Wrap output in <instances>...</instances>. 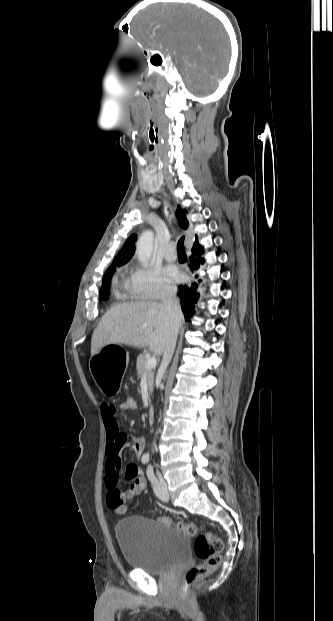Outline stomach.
<instances>
[{
    "mask_svg": "<svg viewBox=\"0 0 333 621\" xmlns=\"http://www.w3.org/2000/svg\"><path fill=\"white\" fill-rule=\"evenodd\" d=\"M91 357L92 378L102 396H117L122 389V378L128 364V354L117 340L102 343Z\"/></svg>",
    "mask_w": 333,
    "mask_h": 621,
    "instance_id": "obj_1",
    "label": "stomach"
}]
</instances>
